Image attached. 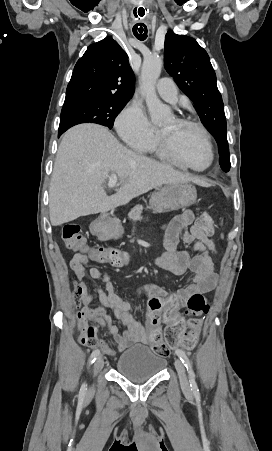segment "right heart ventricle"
Returning a JSON list of instances; mask_svg holds the SVG:
<instances>
[{
    "label": "right heart ventricle",
    "instance_id": "1",
    "mask_svg": "<svg viewBox=\"0 0 272 451\" xmlns=\"http://www.w3.org/2000/svg\"><path fill=\"white\" fill-rule=\"evenodd\" d=\"M159 145V137H156V139L148 146H146L145 148H149L151 150L156 149Z\"/></svg>",
    "mask_w": 272,
    "mask_h": 451
}]
</instances>
